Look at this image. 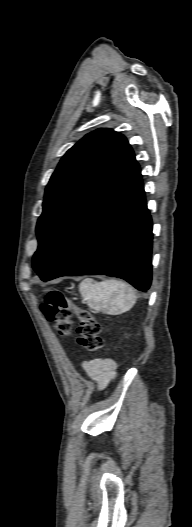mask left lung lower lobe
<instances>
[{
    "label": "left lung lower lobe",
    "mask_w": 192,
    "mask_h": 527,
    "mask_svg": "<svg viewBox=\"0 0 192 527\" xmlns=\"http://www.w3.org/2000/svg\"><path fill=\"white\" fill-rule=\"evenodd\" d=\"M152 220L136 163L78 229L43 281L95 275L125 279L147 291L151 284Z\"/></svg>",
    "instance_id": "0a47b994"
}]
</instances>
